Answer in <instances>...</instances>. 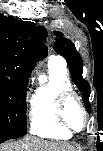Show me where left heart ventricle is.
Returning <instances> with one entry per match:
<instances>
[{
    "label": "left heart ventricle",
    "mask_w": 103,
    "mask_h": 151,
    "mask_svg": "<svg viewBox=\"0 0 103 151\" xmlns=\"http://www.w3.org/2000/svg\"><path fill=\"white\" fill-rule=\"evenodd\" d=\"M66 117L69 123L76 129H81L84 123L83 112L79 104L71 99L66 106Z\"/></svg>",
    "instance_id": "1"
}]
</instances>
